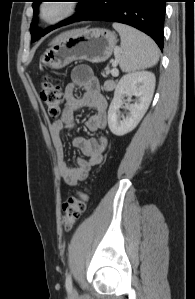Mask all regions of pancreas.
Here are the masks:
<instances>
[{
    "mask_svg": "<svg viewBox=\"0 0 195 299\" xmlns=\"http://www.w3.org/2000/svg\"><path fill=\"white\" fill-rule=\"evenodd\" d=\"M116 86V82L113 80H107L104 83L103 90L105 91H112Z\"/></svg>",
    "mask_w": 195,
    "mask_h": 299,
    "instance_id": "1",
    "label": "pancreas"
}]
</instances>
